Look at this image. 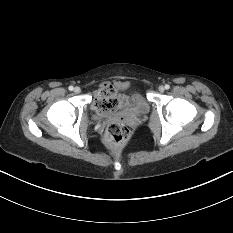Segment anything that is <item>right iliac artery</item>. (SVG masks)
Wrapping results in <instances>:
<instances>
[{"mask_svg":"<svg viewBox=\"0 0 233 233\" xmlns=\"http://www.w3.org/2000/svg\"><path fill=\"white\" fill-rule=\"evenodd\" d=\"M70 91H72L73 89H74V87L73 86H69V88H68Z\"/></svg>","mask_w":233,"mask_h":233,"instance_id":"obj_1","label":"right iliac artery"}]
</instances>
